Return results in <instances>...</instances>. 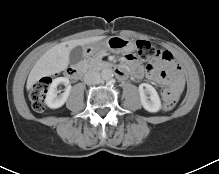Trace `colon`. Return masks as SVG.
Masks as SVG:
<instances>
[{
  "label": "colon",
  "mask_w": 219,
  "mask_h": 174,
  "mask_svg": "<svg viewBox=\"0 0 219 174\" xmlns=\"http://www.w3.org/2000/svg\"><path fill=\"white\" fill-rule=\"evenodd\" d=\"M157 54L155 48L144 40H139L136 43V58L138 61L144 62L153 58ZM52 82L51 76H45L35 82L30 90V101L33 109L37 112H42L45 109V95L47 89ZM175 107L174 101H164L162 108L164 111H171Z\"/></svg>",
  "instance_id": "obj_1"
}]
</instances>
